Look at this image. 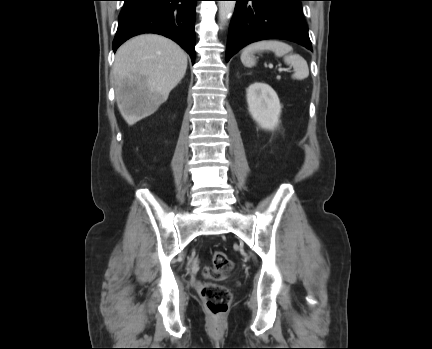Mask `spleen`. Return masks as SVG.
<instances>
[{
  "label": "spleen",
  "mask_w": 432,
  "mask_h": 349,
  "mask_svg": "<svg viewBox=\"0 0 432 349\" xmlns=\"http://www.w3.org/2000/svg\"><path fill=\"white\" fill-rule=\"evenodd\" d=\"M292 47L287 43L278 40H262L252 43L244 48L241 54V61L245 67L251 68L256 64L253 55L256 52L272 51L277 57H284V62L293 66V79L303 80L309 75V68L306 60L299 54L292 53Z\"/></svg>",
  "instance_id": "obj_1"
}]
</instances>
